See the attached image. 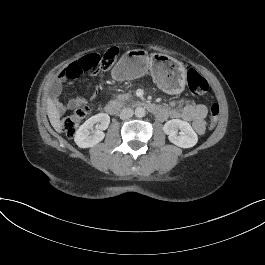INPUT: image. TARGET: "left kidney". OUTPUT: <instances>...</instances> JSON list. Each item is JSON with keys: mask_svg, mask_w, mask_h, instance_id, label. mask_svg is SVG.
<instances>
[{"mask_svg": "<svg viewBox=\"0 0 265 265\" xmlns=\"http://www.w3.org/2000/svg\"><path fill=\"white\" fill-rule=\"evenodd\" d=\"M178 129L183 133L177 135ZM163 131L168 135V140L177 147L187 149L194 147L198 143V135L187 121L170 120L163 126Z\"/></svg>", "mask_w": 265, "mask_h": 265, "instance_id": "left-kidney-1", "label": "left kidney"}]
</instances>
